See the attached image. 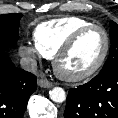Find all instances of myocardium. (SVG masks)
<instances>
[{
  "mask_svg": "<svg viewBox=\"0 0 118 118\" xmlns=\"http://www.w3.org/2000/svg\"><path fill=\"white\" fill-rule=\"evenodd\" d=\"M91 30H99L104 36L105 46H104V50L101 57L99 58V60L96 62V64L93 67H91L90 69L82 73L69 74V73L64 72L60 67V61L73 48V46L77 43V41L85 33ZM110 45H111L110 37L104 27L100 25H96V24H91V25L82 27L78 29L77 31H75L56 51L55 55L53 56V62H52L54 72L59 78L68 82H77V81H82L84 79H87L93 76L96 72H98L99 69L103 66V64L105 63L108 57V54L110 51Z\"/></svg>",
  "mask_w": 118,
  "mask_h": 118,
  "instance_id": "f54148a6",
  "label": "myocardium"
}]
</instances>
